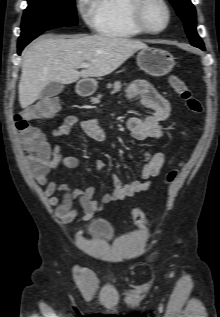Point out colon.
Segmentation results:
<instances>
[{
    "mask_svg": "<svg viewBox=\"0 0 220 317\" xmlns=\"http://www.w3.org/2000/svg\"><path fill=\"white\" fill-rule=\"evenodd\" d=\"M169 82L178 97L184 102L185 106L194 113H200L202 106L192 95L187 84L177 75H171ZM59 110V100L57 97H47L39 100L35 104L24 109L14 117L15 126L20 134L23 148L28 153L30 166L42 168L50 160L51 149L43 133L32 125V121L45 120L53 117ZM178 171L176 169L169 172L168 182H172ZM135 221L140 225H147L145 214L140 209L132 211Z\"/></svg>",
    "mask_w": 220,
    "mask_h": 317,
    "instance_id": "obj_1",
    "label": "colon"
}]
</instances>
